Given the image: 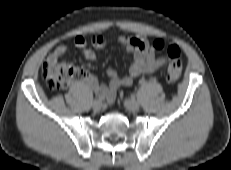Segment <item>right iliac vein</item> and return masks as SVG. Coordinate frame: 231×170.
Listing matches in <instances>:
<instances>
[{
	"instance_id": "right-iliac-vein-1",
	"label": "right iliac vein",
	"mask_w": 231,
	"mask_h": 170,
	"mask_svg": "<svg viewBox=\"0 0 231 170\" xmlns=\"http://www.w3.org/2000/svg\"><path fill=\"white\" fill-rule=\"evenodd\" d=\"M103 106V102L102 100L100 99H95L92 103V108L95 110V111H98L102 108Z\"/></svg>"
}]
</instances>
